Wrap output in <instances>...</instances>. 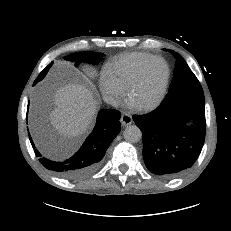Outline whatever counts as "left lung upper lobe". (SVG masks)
Wrapping results in <instances>:
<instances>
[{"instance_id": "left-lung-upper-lobe-1", "label": "left lung upper lobe", "mask_w": 231, "mask_h": 231, "mask_svg": "<svg viewBox=\"0 0 231 231\" xmlns=\"http://www.w3.org/2000/svg\"><path fill=\"white\" fill-rule=\"evenodd\" d=\"M165 51H169L176 58L175 69L173 80L170 84L168 96L175 95L177 93L193 89V88H202L198 79L191 71L185 60L176 52L170 49H164Z\"/></svg>"}]
</instances>
